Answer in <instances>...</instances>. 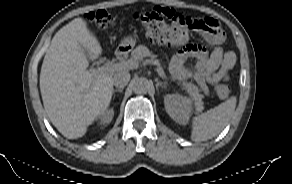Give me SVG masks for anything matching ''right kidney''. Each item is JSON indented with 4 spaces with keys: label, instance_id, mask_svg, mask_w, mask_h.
I'll list each match as a JSON object with an SVG mask.
<instances>
[{
    "label": "right kidney",
    "instance_id": "ca27d5eb",
    "mask_svg": "<svg viewBox=\"0 0 292 184\" xmlns=\"http://www.w3.org/2000/svg\"><path fill=\"white\" fill-rule=\"evenodd\" d=\"M114 116V111L113 109H107L101 115L99 116V124L100 125H107L109 124Z\"/></svg>",
    "mask_w": 292,
    "mask_h": 184
}]
</instances>
